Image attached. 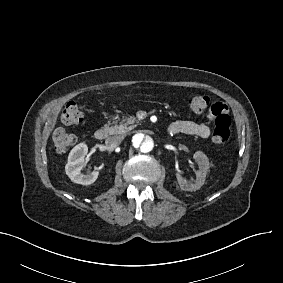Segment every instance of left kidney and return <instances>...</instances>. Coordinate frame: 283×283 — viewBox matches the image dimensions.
Returning a JSON list of instances; mask_svg holds the SVG:
<instances>
[{
  "label": "left kidney",
  "mask_w": 283,
  "mask_h": 283,
  "mask_svg": "<svg viewBox=\"0 0 283 283\" xmlns=\"http://www.w3.org/2000/svg\"><path fill=\"white\" fill-rule=\"evenodd\" d=\"M194 160L199 165V170L196 172V180H186L181 176V172H176V179L179 183L180 189L184 191L194 192L200 189L205 181L209 170V160L203 152H196L193 156Z\"/></svg>",
  "instance_id": "obj_1"
}]
</instances>
